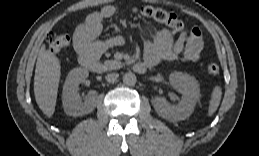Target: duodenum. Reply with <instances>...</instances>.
I'll list each match as a JSON object with an SVG mask.
<instances>
[{"label":"duodenum","instance_id":"1","mask_svg":"<svg viewBox=\"0 0 259 156\" xmlns=\"http://www.w3.org/2000/svg\"><path fill=\"white\" fill-rule=\"evenodd\" d=\"M81 58V61L83 65L88 68L90 71L95 73H101L104 70L103 65L93 56L91 55H83ZM148 65L145 62H137L133 69L136 73L143 74L146 72Z\"/></svg>","mask_w":259,"mask_h":156}]
</instances>
